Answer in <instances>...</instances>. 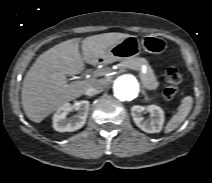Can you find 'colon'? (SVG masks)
Listing matches in <instances>:
<instances>
[{
	"mask_svg": "<svg viewBox=\"0 0 212 183\" xmlns=\"http://www.w3.org/2000/svg\"><path fill=\"white\" fill-rule=\"evenodd\" d=\"M181 80L182 76L176 68L170 67L167 69L165 73L166 86L163 90V96L165 99L171 100L175 97Z\"/></svg>",
	"mask_w": 212,
	"mask_h": 183,
	"instance_id": "obj_1",
	"label": "colon"
}]
</instances>
